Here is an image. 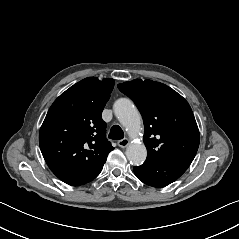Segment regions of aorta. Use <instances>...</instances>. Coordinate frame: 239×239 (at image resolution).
<instances>
[{
    "label": "aorta",
    "instance_id": "aorta-1",
    "mask_svg": "<svg viewBox=\"0 0 239 239\" xmlns=\"http://www.w3.org/2000/svg\"><path fill=\"white\" fill-rule=\"evenodd\" d=\"M114 113L120 123L126 128L128 136L133 140L142 130L141 116L132 101L126 98L117 100ZM126 156L133 165L142 163L147 156V149L143 143L131 142L126 149Z\"/></svg>",
    "mask_w": 239,
    "mask_h": 239
}]
</instances>
